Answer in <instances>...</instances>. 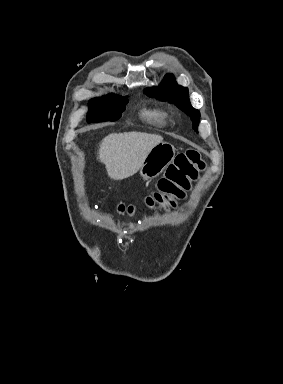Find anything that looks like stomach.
Instances as JSON below:
<instances>
[{"label": "stomach", "mask_w": 283, "mask_h": 384, "mask_svg": "<svg viewBox=\"0 0 283 384\" xmlns=\"http://www.w3.org/2000/svg\"><path fill=\"white\" fill-rule=\"evenodd\" d=\"M175 158V148L167 142H160L147 154L141 168L140 176L143 180H153L171 164Z\"/></svg>", "instance_id": "0dacf381"}]
</instances>
